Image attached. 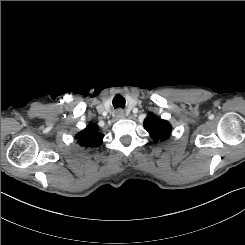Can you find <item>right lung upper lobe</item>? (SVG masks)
Instances as JSON below:
<instances>
[{
    "label": "right lung upper lobe",
    "mask_w": 245,
    "mask_h": 245,
    "mask_svg": "<svg viewBox=\"0 0 245 245\" xmlns=\"http://www.w3.org/2000/svg\"><path fill=\"white\" fill-rule=\"evenodd\" d=\"M96 124L90 123L85 130L76 135L77 142L79 145L92 148L102 144L103 135L98 132Z\"/></svg>",
    "instance_id": "right-lung-upper-lobe-1"
}]
</instances>
